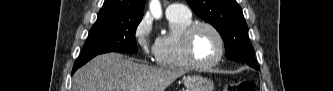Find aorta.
<instances>
[{"label":"aorta","instance_id":"obj_1","mask_svg":"<svg viewBox=\"0 0 333 91\" xmlns=\"http://www.w3.org/2000/svg\"><path fill=\"white\" fill-rule=\"evenodd\" d=\"M151 9L155 13L156 16L160 15V7H159V3L157 1L152 2Z\"/></svg>","mask_w":333,"mask_h":91}]
</instances>
